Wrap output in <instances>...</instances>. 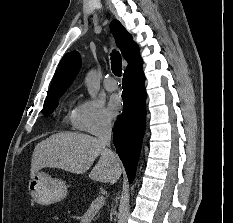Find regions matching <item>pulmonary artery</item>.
I'll return each mask as SVG.
<instances>
[{
    "instance_id": "pulmonary-artery-1",
    "label": "pulmonary artery",
    "mask_w": 233,
    "mask_h": 223,
    "mask_svg": "<svg viewBox=\"0 0 233 223\" xmlns=\"http://www.w3.org/2000/svg\"><path fill=\"white\" fill-rule=\"evenodd\" d=\"M104 86L105 88L108 90V91H114L117 89V85H116V82L113 78L111 77H107L105 80H104Z\"/></svg>"
}]
</instances>
